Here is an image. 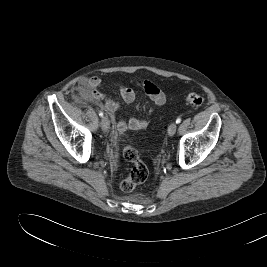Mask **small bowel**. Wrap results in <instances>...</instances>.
I'll use <instances>...</instances> for the list:
<instances>
[{"instance_id": "obj_1", "label": "small bowel", "mask_w": 267, "mask_h": 267, "mask_svg": "<svg viewBox=\"0 0 267 267\" xmlns=\"http://www.w3.org/2000/svg\"><path fill=\"white\" fill-rule=\"evenodd\" d=\"M102 81L99 77L94 76L88 79H83L79 82L77 91L85 98L94 101L110 113L115 120V126L118 132L123 133L127 130H144L148 127L149 121L147 119L129 118L128 120H122L117 117L121 106L119 103L107 98L100 92ZM137 88H142L147 96L152 101L154 107L163 106L166 101V95L164 92L154 83L150 81H137L134 86H121L119 91L120 95L125 103H132L136 98ZM154 108L150 109L153 112Z\"/></svg>"}]
</instances>
